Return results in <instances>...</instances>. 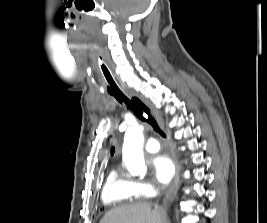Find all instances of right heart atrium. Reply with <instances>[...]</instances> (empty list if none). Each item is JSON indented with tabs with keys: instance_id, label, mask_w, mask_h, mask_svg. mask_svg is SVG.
Returning a JSON list of instances; mask_svg holds the SVG:
<instances>
[{
	"instance_id": "obj_1",
	"label": "right heart atrium",
	"mask_w": 267,
	"mask_h": 223,
	"mask_svg": "<svg viewBox=\"0 0 267 223\" xmlns=\"http://www.w3.org/2000/svg\"><path fill=\"white\" fill-rule=\"evenodd\" d=\"M135 187H136V192L140 196H150L155 192L154 187L146 182H134Z\"/></svg>"
}]
</instances>
